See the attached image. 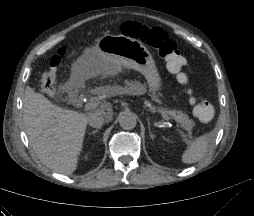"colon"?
<instances>
[{"instance_id":"5ec220e1","label":"colon","mask_w":254,"mask_h":216,"mask_svg":"<svg viewBox=\"0 0 254 216\" xmlns=\"http://www.w3.org/2000/svg\"><path fill=\"white\" fill-rule=\"evenodd\" d=\"M122 33L126 36L139 39L148 44L153 50L157 51L160 56L167 60L168 68L171 71L178 72V78L184 82L187 80V74L183 68L187 65L186 59L177 49L176 43L168 34L158 28L142 25L135 22H126L122 25ZM66 53L64 47L58 50L50 61V68L42 79L43 90H53L56 83V67L60 64L61 56ZM193 114L201 122H210L215 115L214 106L199 97L192 98Z\"/></svg>"}]
</instances>
